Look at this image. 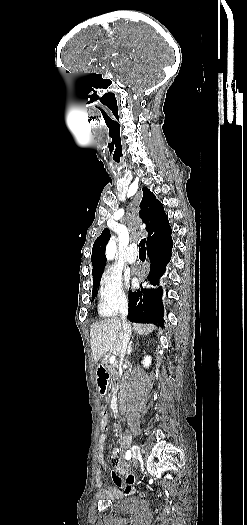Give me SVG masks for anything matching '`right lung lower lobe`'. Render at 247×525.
I'll use <instances>...</instances> for the list:
<instances>
[{
	"instance_id": "obj_1",
	"label": "right lung lower lobe",
	"mask_w": 247,
	"mask_h": 525,
	"mask_svg": "<svg viewBox=\"0 0 247 525\" xmlns=\"http://www.w3.org/2000/svg\"><path fill=\"white\" fill-rule=\"evenodd\" d=\"M173 241L169 223L147 239V253L151 263L148 280L157 284L165 271V265L171 259ZM144 293V294H143ZM162 289L141 290L129 292L128 319L135 322L154 323L164 325L163 305L161 301Z\"/></svg>"
}]
</instances>
